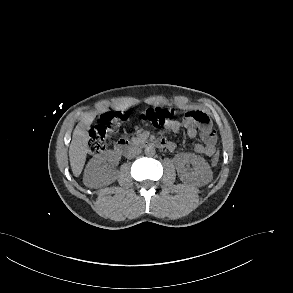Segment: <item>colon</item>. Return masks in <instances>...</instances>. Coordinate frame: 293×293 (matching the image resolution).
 I'll return each instance as SVG.
<instances>
[{"label":"colon","instance_id":"colon-1","mask_svg":"<svg viewBox=\"0 0 293 293\" xmlns=\"http://www.w3.org/2000/svg\"><path fill=\"white\" fill-rule=\"evenodd\" d=\"M174 110L170 108L152 107L145 109L140 114V119L146 124L154 127L163 126L173 116ZM125 114L122 112H107L100 116L97 123L91 128L88 141V151L97 154L104 150L109 143V133L116 132L125 121ZM204 118L195 112H188L185 120L201 123ZM219 152H216L212 159V165H217Z\"/></svg>","mask_w":293,"mask_h":293}]
</instances>
